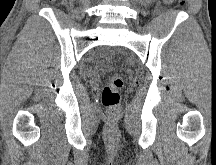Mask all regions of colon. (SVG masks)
Wrapping results in <instances>:
<instances>
[{"mask_svg": "<svg viewBox=\"0 0 216 165\" xmlns=\"http://www.w3.org/2000/svg\"><path fill=\"white\" fill-rule=\"evenodd\" d=\"M179 4L184 6L186 0H179ZM124 81L119 74H113L108 83L104 86L101 94V101L106 108L109 117L114 118L120 109V91L123 88Z\"/></svg>", "mask_w": 216, "mask_h": 165, "instance_id": "colon-1", "label": "colon"}]
</instances>
